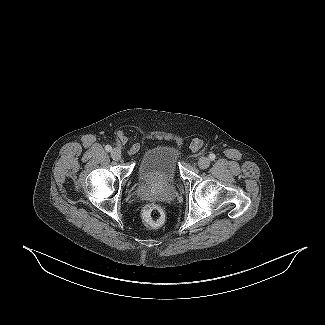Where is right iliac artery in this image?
<instances>
[{
  "instance_id": "82829eb1",
  "label": "right iliac artery",
  "mask_w": 325,
  "mask_h": 325,
  "mask_svg": "<svg viewBox=\"0 0 325 325\" xmlns=\"http://www.w3.org/2000/svg\"><path fill=\"white\" fill-rule=\"evenodd\" d=\"M105 150L108 151V152H110L112 150V147L110 145H106L105 146Z\"/></svg>"
}]
</instances>
